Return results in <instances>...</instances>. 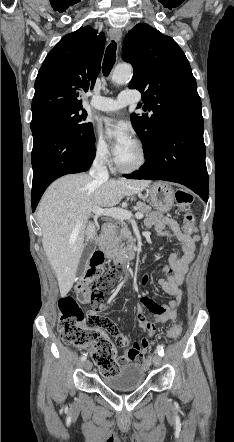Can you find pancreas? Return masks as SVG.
Instances as JSON below:
<instances>
[{
    "label": "pancreas",
    "instance_id": "1",
    "mask_svg": "<svg viewBox=\"0 0 234 442\" xmlns=\"http://www.w3.org/2000/svg\"><path fill=\"white\" fill-rule=\"evenodd\" d=\"M142 214H150L152 212V207L144 202H137L135 207ZM121 229L117 230L115 224H108L107 228L103 234V244L104 250L108 255H112L114 248L118 247L123 240L131 242L133 240L131 232L128 230L126 224L121 221Z\"/></svg>",
    "mask_w": 234,
    "mask_h": 442
}]
</instances>
